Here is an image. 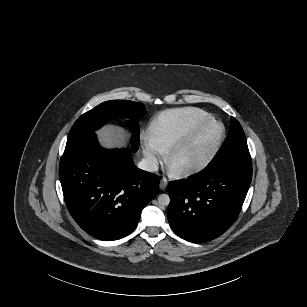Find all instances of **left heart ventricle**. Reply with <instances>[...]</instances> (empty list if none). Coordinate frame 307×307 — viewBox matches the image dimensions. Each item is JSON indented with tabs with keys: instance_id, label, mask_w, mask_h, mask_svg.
I'll list each match as a JSON object with an SVG mask.
<instances>
[{
	"instance_id": "obj_1",
	"label": "left heart ventricle",
	"mask_w": 307,
	"mask_h": 307,
	"mask_svg": "<svg viewBox=\"0 0 307 307\" xmlns=\"http://www.w3.org/2000/svg\"><path fill=\"white\" fill-rule=\"evenodd\" d=\"M224 132L223 125H212L188 150L183 152L173 163V168L178 170L193 165L203 159L217 144Z\"/></svg>"
}]
</instances>
